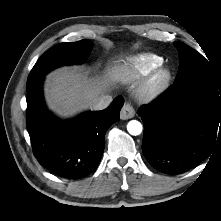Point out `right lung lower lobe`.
<instances>
[{
  "label": "right lung lower lobe",
  "instance_id": "1",
  "mask_svg": "<svg viewBox=\"0 0 221 221\" xmlns=\"http://www.w3.org/2000/svg\"><path fill=\"white\" fill-rule=\"evenodd\" d=\"M43 79L27 86V129L34 155L45 169L57 176L84 178L98 167L106 131L119 120L124 100L117 97L105 110L61 121L46 108Z\"/></svg>",
  "mask_w": 221,
  "mask_h": 221
}]
</instances>
